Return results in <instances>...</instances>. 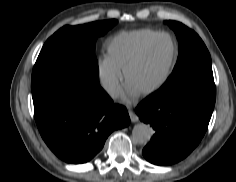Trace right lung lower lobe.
Here are the masks:
<instances>
[{"label":"right lung lower lobe","mask_w":236,"mask_h":182,"mask_svg":"<svg viewBox=\"0 0 236 182\" xmlns=\"http://www.w3.org/2000/svg\"><path fill=\"white\" fill-rule=\"evenodd\" d=\"M100 90L101 98L96 99L83 85L62 82L33 92L38 130L61 160L73 164L91 160L112 131L130 123L126 108Z\"/></svg>","instance_id":"obj_1"}]
</instances>
